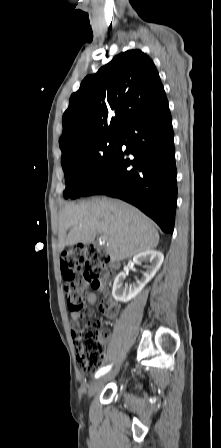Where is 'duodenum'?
<instances>
[{
  "label": "duodenum",
  "mask_w": 221,
  "mask_h": 448,
  "mask_svg": "<svg viewBox=\"0 0 221 448\" xmlns=\"http://www.w3.org/2000/svg\"><path fill=\"white\" fill-rule=\"evenodd\" d=\"M113 267H114V268H117V267H118V262H114V263H113Z\"/></svg>",
  "instance_id": "obj_1"
}]
</instances>
